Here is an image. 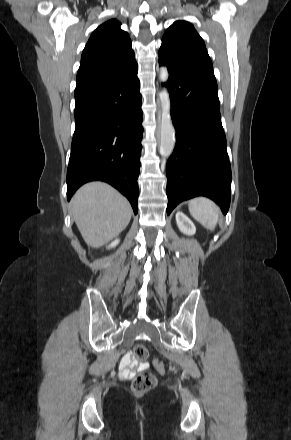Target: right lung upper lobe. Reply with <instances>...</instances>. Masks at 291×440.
Segmentation results:
<instances>
[{"label": "right lung upper lobe", "instance_id": "1", "mask_svg": "<svg viewBox=\"0 0 291 440\" xmlns=\"http://www.w3.org/2000/svg\"><path fill=\"white\" fill-rule=\"evenodd\" d=\"M121 23L111 19L88 40L76 77V87L114 80L138 69L131 40Z\"/></svg>", "mask_w": 291, "mask_h": 440}]
</instances>
